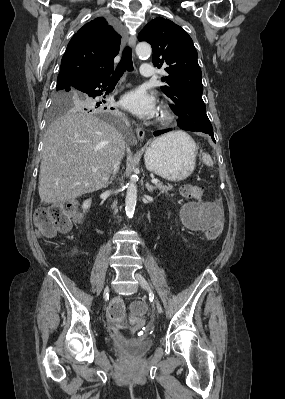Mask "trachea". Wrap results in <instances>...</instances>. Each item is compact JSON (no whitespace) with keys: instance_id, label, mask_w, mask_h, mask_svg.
Masks as SVG:
<instances>
[{"instance_id":"3493384b","label":"trachea","mask_w":285,"mask_h":399,"mask_svg":"<svg viewBox=\"0 0 285 399\" xmlns=\"http://www.w3.org/2000/svg\"><path fill=\"white\" fill-rule=\"evenodd\" d=\"M133 71L132 50L130 47H125L122 53V58L112 74L111 80H118L125 71Z\"/></svg>"}]
</instances>
